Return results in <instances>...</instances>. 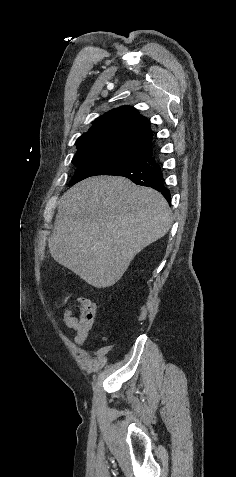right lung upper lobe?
Masks as SVG:
<instances>
[{
	"label": "right lung upper lobe",
	"instance_id": "obj_1",
	"mask_svg": "<svg viewBox=\"0 0 236 477\" xmlns=\"http://www.w3.org/2000/svg\"><path fill=\"white\" fill-rule=\"evenodd\" d=\"M75 144L78 152L72 161L105 159L126 167L136 163L133 157L152 155V130L135 108L122 106L99 117Z\"/></svg>",
	"mask_w": 236,
	"mask_h": 477
}]
</instances>
